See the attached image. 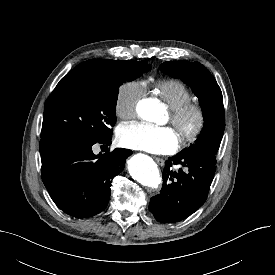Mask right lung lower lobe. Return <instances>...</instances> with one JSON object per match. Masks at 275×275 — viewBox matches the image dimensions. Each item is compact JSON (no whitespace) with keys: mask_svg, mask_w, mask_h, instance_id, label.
Instances as JSON below:
<instances>
[{"mask_svg":"<svg viewBox=\"0 0 275 275\" xmlns=\"http://www.w3.org/2000/svg\"><path fill=\"white\" fill-rule=\"evenodd\" d=\"M95 143L109 145L111 138ZM95 143L61 145L41 153L42 180L50 197L76 218L91 217L106 208L113 178L132 154L131 150L116 148L95 155Z\"/></svg>","mask_w":275,"mask_h":275,"instance_id":"right-lung-lower-lobe-1","label":"right lung lower lobe"}]
</instances>
